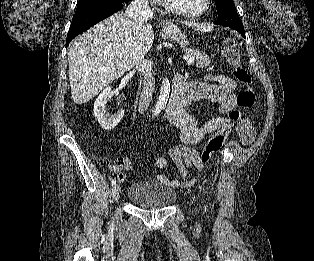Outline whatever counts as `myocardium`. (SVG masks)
<instances>
[{"label": "myocardium", "mask_w": 314, "mask_h": 261, "mask_svg": "<svg viewBox=\"0 0 314 261\" xmlns=\"http://www.w3.org/2000/svg\"><path fill=\"white\" fill-rule=\"evenodd\" d=\"M164 7L179 16L188 17V18H195L204 15L207 13L212 5V0H205V4L202 9L197 11H186L174 6L169 0H162Z\"/></svg>", "instance_id": "obj_1"}]
</instances>
